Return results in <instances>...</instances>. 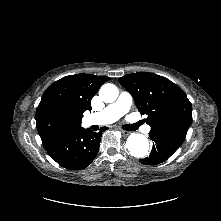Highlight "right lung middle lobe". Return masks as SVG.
Returning <instances> with one entry per match:
<instances>
[{
	"label": "right lung middle lobe",
	"mask_w": 221,
	"mask_h": 221,
	"mask_svg": "<svg viewBox=\"0 0 221 221\" xmlns=\"http://www.w3.org/2000/svg\"><path fill=\"white\" fill-rule=\"evenodd\" d=\"M63 127L64 120L62 118H55L46 125V130L49 135H53L62 130Z\"/></svg>",
	"instance_id": "dd1d6c3e"
}]
</instances>
